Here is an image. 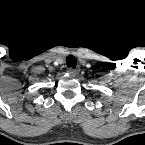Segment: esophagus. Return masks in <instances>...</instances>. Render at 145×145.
I'll list each match as a JSON object with an SVG mask.
<instances>
[{
	"label": "esophagus",
	"mask_w": 145,
	"mask_h": 145,
	"mask_svg": "<svg viewBox=\"0 0 145 145\" xmlns=\"http://www.w3.org/2000/svg\"><path fill=\"white\" fill-rule=\"evenodd\" d=\"M67 72L70 73V74H77V73L79 72V69L69 68V69L67 70Z\"/></svg>",
	"instance_id": "1"
}]
</instances>
